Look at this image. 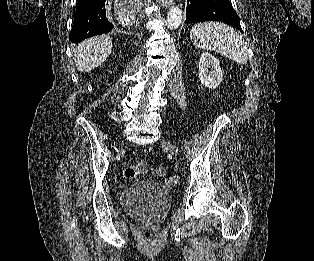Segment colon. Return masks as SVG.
Listing matches in <instances>:
<instances>
[{"label": "colon", "instance_id": "colon-1", "mask_svg": "<svg viewBox=\"0 0 314 261\" xmlns=\"http://www.w3.org/2000/svg\"><path fill=\"white\" fill-rule=\"evenodd\" d=\"M148 171V166L146 163H138L135 165H129L124 169V177L126 179H134L138 176H141ZM164 171V167L160 166L159 172L162 173ZM144 235L147 238H152L154 236V229L153 228H145L144 229Z\"/></svg>", "mask_w": 314, "mask_h": 261}]
</instances>
